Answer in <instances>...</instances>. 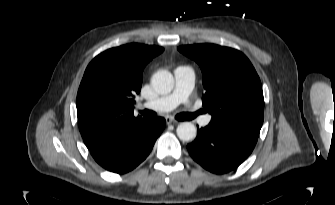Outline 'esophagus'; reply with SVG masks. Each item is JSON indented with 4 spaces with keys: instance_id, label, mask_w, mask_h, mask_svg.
I'll return each mask as SVG.
<instances>
[{
    "instance_id": "34e87169",
    "label": "esophagus",
    "mask_w": 335,
    "mask_h": 205,
    "mask_svg": "<svg viewBox=\"0 0 335 205\" xmlns=\"http://www.w3.org/2000/svg\"><path fill=\"white\" fill-rule=\"evenodd\" d=\"M165 120H166V123H167V124L178 123L177 120L173 119V118L170 117V116H167V117L165 118Z\"/></svg>"
}]
</instances>
